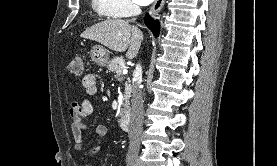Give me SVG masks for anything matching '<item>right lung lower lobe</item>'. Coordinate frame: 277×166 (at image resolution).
Instances as JSON below:
<instances>
[{
    "mask_svg": "<svg viewBox=\"0 0 277 166\" xmlns=\"http://www.w3.org/2000/svg\"><path fill=\"white\" fill-rule=\"evenodd\" d=\"M146 26L153 32L155 37H158L160 31V24L158 20H153L148 14L145 16Z\"/></svg>",
    "mask_w": 277,
    "mask_h": 166,
    "instance_id": "obj_1",
    "label": "right lung lower lobe"
}]
</instances>
